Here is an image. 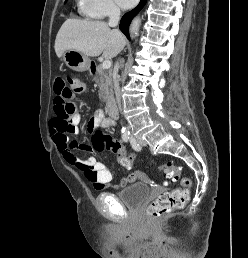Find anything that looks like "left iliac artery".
I'll return each mask as SVG.
<instances>
[{"mask_svg":"<svg viewBox=\"0 0 248 258\" xmlns=\"http://www.w3.org/2000/svg\"><path fill=\"white\" fill-rule=\"evenodd\" d=\"M130 144L132 146V148L136 151H139L141 149V147L139 146V144L136 142L134 137L130 138Z\"/></svg>","mask_w":248,"mask_h":258,"instance_id":"left-iliac-artery-1","label":"left iliac artery"}]
</instances>
